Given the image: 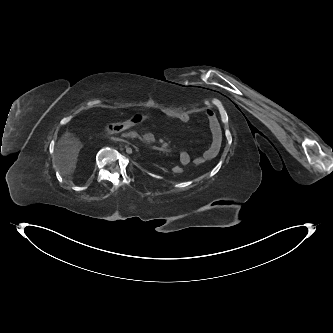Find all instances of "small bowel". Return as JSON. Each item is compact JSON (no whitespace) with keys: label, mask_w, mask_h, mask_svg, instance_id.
I'll return each instance as SVG.
<instances>
[{"label":"small bowel","mask_w":333,"mask_h":333,"mask_svg":"<svg viewBox=\"0 0 333 333\" xmlns=\"http://www.w3.org/2000/svg\"><path fill=\"white\" fill-rule=\"evenodd\" d=\"M206 115L212 133V142L208 149L201 156L196 157L193 160V163L195 165H201L206 161H209L216 157L221 147L222 135L218 118L215 112L211 109H207ZM173 117L181 123H186L190 119V114L188 112H180L175 114ZM190 162V155L186 151H181L179 154V165L187 166Z\"/></svg>","instance_id":"1"}]
</instances>
